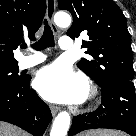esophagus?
Instances as JSON below:
<instances>
[{"mask_svg":"<svg viewBox=\"0 0 136 136\" xmlns=\"http://www.w3.org/2000/svg\"><path fill=\"white\" fill-rule=\"evenodd\" d=\"M46 4H47V20L53 30V32L55 34L58 33V28L56 27L55 23H54V14H55V9H56V0H46ZM50 110L53 116H55L57 114V112L59 111V107L55 106V105H50Z\"/></svg>","mask_w":136,"mask_h":136,"instance_id":"34e87169","label":"esophagus"}]
</instances>
